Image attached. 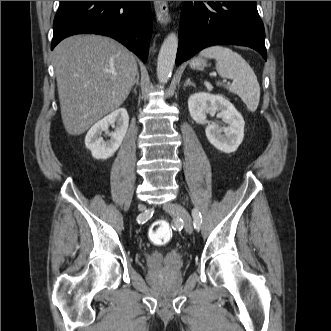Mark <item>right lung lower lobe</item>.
Here are the masks:
<instances>
[{
    "instance_id": "1",
    "label": "right lung lower lobe",
    "mask_w": 331,
    "mask_h": 331,
    "mask_svg": "<svg viewBox=\"0 0 331 331\" xmlns=\"http://www.w3.org/2000/svg\"><path fill=\"white\" fill-rule=\"evenodd\" d=\"M150 1H60L51 50L64 38L83 33L112 37L147 60Z\"/></svg>"
}]
</instances>
